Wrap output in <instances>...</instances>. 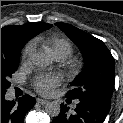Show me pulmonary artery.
Instances as JSON below:
<instances>
[{"mask_svg": "<svg viewBox=\"0 0 123 123\" xmlns=\"http://www.w3.org/2000/svg\"><path fill=\"white\" fill-rule=\"evenodd\" d=\"M58 61H63L64 60V58H62V57H59V58H56Z\"/></svg>", "mask_w": 123, "mask_h": 123, "instance_id": "obj_1", "label": "pulmonary artery"}]
</instances>
